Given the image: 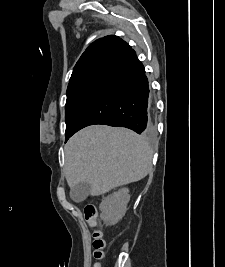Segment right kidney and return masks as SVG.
I'll return each mask as SVG.
<instances>
[{
  "label": "right kidney",
  "mask_w": 225,
  "mask_h": 267,
  "mask_svg": "<svg viewBox=\"0 0 225 267\" xmlns=\"http://www.w3.org/2000/svg\"><path fill=\"white\" fill-rule=\"evenodd\" d=\"M129 200L128 188L107 196L100 204L101 218L110 225L116 224L125 215Z\"/></svg>",
  "instance_id": "right-kidney-1"
}]
</instances>
